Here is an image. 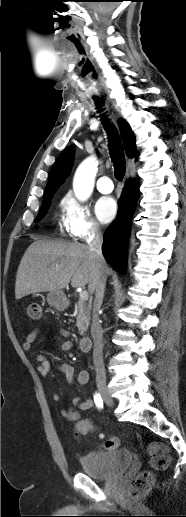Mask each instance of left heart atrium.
Returning <instances> with one entry per match:
<instances>
[{
	"label": "left heart atrium",
	"instance_id": "obj_1",
	"mask_svg": "<svg viewBox=\"0 0 186 517\" xmlns=\"http://www.w3.org/2000/svg\"><path fill=\"white\" fill-rule=\"evenodd\" d=\"M95 213L102 223L114 219L117 213V204L112 197H101L95 204Z\"/></svg>",
	"mask_w": 186,
	"mask_h": 517
}]
</instances>
